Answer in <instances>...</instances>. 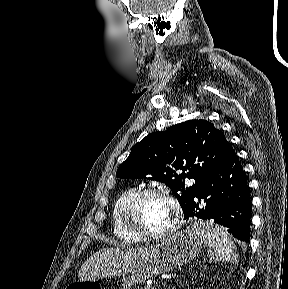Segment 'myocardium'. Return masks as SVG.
Wrapping results in <instances>:
<instances>
[{
	"label": "myocardium",
	"instance_id": "obj_1",
	"mask_svg": "<svg viewBox=\"0 0 288 289\" xmlns=\"http://www.w3.org/2000/svg\"><path fill=\"white\" fill-rule=\"evenodd\" d=\"M152 196L167 201L173 210V221L166 229L149 233L141 230L134 222L133 212L139 201L145 197ZM181 209L178 201L167 191L155 188H142L137 190L124 204L121 211L122 223L125 229L140 240H159L171 236L177 231L180 224Z\"/></svg>",
	"mask_w": 288,
	"mask_h": 289
}]
</instances>
